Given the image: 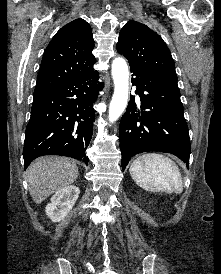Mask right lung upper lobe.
Segmentation results:
<instances>
[{"label":"right lung upper lobe","instance_id":"obj_1","mask_svg":"<svg viewBox=\"0 0 221 274\" xmlns=\"http://www.w3.org/2000/svg\"><path fill=\"white\" fill-rule=\"evenodd\" d=\"M93 48L92 30L85 20L76 19L62 27L44 52L34 93L94 71Z\"/></svg>","mask_w":221,"mask_h":274}]
</instances>
